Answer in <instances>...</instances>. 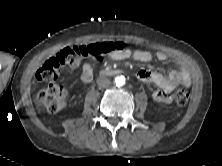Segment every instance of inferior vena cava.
<instances>
[{"label": "inferior vena cava", "mask_w": 222, "mask_h": 166, "mask_svg": "<svg viewBox=\"0 0 222 166\" xmlns=\"http://www.w3.org/2000/svg\"><path fill=\"white\" fill-rule=\"evenodd\" d=\"M97 84L100 87H108L111 84V82L107 77L101 76L97 79Z\"/></svg>", "instance_id": "obj_1"}]
</instances>
